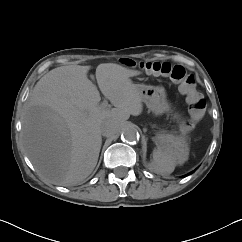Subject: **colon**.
Returning <instances> with one entry per match:
<instances>
[{
	"label": "colon",
	"instance_id": "1",
	"mask_svg": "<svg viewBox=\"0 0 242 242\" xmlns=\"http://www.w3.org/2000/svg\"><path fill=\"white\" fill-rule=\"evenodd\" d=\"M122 63L129 67L138 66L150 74L167 77L176 83L179 86V90L186 95V102L189 109L187 124L190 127L195 126L203 118L206 102L196 88L194 76L183 66L158 61H141L136 63L130 58L122 59Z\"/></svg>",
	"mask_w": 242,
	"mask_h": 242
}]
</instances>
